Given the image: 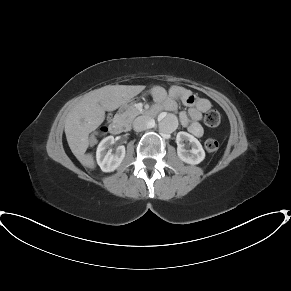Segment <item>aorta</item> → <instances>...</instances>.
<instances>
[{"mask_svg":"<svg viewBox=\"0 0 291 291\" xmlns=\"http://www.w3.org/2000/svg\"><path fill=\"white\" fill-rule=\"evenodd\" d=\"M158 126L162 133H172L178 127V119L173 114H164L159 117Z\"/></svg>","mask_w":291,"mask_h":291,"instance_id":"aorta-1","label":"aorta"}]
</instances>
